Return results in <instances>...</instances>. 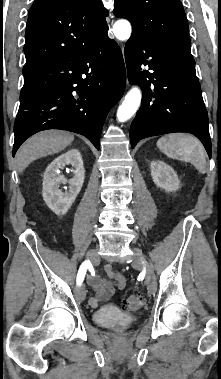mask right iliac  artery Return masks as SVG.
Wrapping results in <instances>:
<instances>
[{
    "label": "right iliac artery",
    "mask_w": 221,
    "mask_h": 379,
    "mask_svg": "<svg viewBox=\"0 0 221 379\" xmlns=\"http://www.w3.org/2000/svg\"><path fill=\"white\" fill-rule=\"evenodd\" d=\"M91 266V263L89 260L84 261L78 271L76 283L78 286H80L84 280L85 274L87 269Z\"/></svg>",
    "instance_id": "right-iliac-artery-1"
}]
</instances>
